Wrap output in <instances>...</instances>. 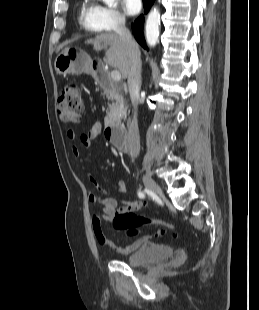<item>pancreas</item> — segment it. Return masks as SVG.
<instances>
[{
    "label": "pancreas",
    "instance_id": "1",
    "mask_svg": "<svg viewBox=\"0 0 259 310\" xmlns=\"http://www.w3.org/2000/svg\"><path fill=\"white\" fill-rule=\"evenodd\" d=\"M112 103L109 104V111L105 118L107 124L120 123L121 119L126 115L127 108L124 104L123 98L116 92L111 94Z\"/></svg>",
    "mask_w": 259,
    "mask_h": 310
}]
</instances>
